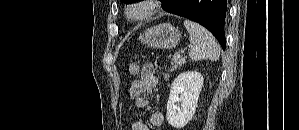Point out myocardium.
<instances>
[{
  "instance_id": "1",
  "label": "myocardium",
  "mask_w": 299,
  "mask_h": 130,
  "mask_svg": "<svg viewBox=\"0 0 299 130\" xmlns=\"http://www.w3.org/2000/svg\"><path fill=\"white\" fill-rule=\"evenodd\" d=\"M158 0H134L124 8V16L128 22L136 23L149 19L160 9Z\"/></svg>"
}]
</instances>
